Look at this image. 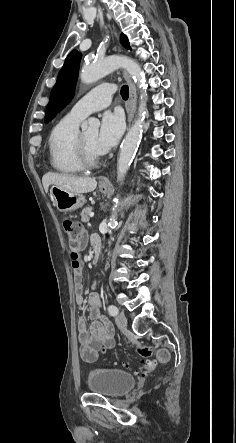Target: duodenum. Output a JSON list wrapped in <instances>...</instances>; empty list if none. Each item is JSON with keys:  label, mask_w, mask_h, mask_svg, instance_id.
Masks as SVG:
<instances>
[{"label": "duodenum", "mask_w": 236, "mask_h": 443, "mask_svg": "<svg viewBox=\"0 0 236 443\" xmlns=\"http://www.w3.org/2000/svg\"><path fill=\"white\" fill-rule=\"evenodd\" d=\"M101 254V245L97 246L94 248V252H93V260L97 261L100 257Z\"/></svg>", "instance_id": "410a0bca"}]
</instances>
